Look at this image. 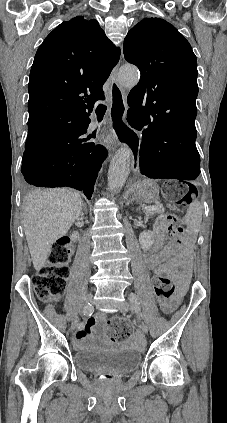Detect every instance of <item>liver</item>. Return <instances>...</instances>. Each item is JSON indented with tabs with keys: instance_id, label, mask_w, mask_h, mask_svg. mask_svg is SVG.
I'll use <instances>...</instances> for the list:
<instances>
[{
	"instance_id": "1",
	"label": "liver",
	"mask_w": 227,
	"mask_h": 423,
	"mask_svg": "<svg viewBox=\"0 0 227 423\" xmlns=\"http://www.w3.org/2000/svg\"><path fill=\"white\" fill-rule=\"evenodd\" d=\"M24 231L34 269L46 263L52 243L66 235L82 213L79 192L69 188L35 190L25 196Z\"/></svg>"
}]
</instances>
